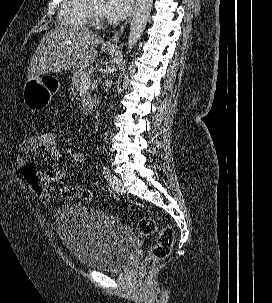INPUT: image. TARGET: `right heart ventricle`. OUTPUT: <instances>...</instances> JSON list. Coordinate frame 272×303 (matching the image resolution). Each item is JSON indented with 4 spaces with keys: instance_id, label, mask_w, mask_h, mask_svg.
I'll list each match as a JSON object with an SVG mask.
<instances>
[{
    "instance_id": "e07e8e85",
    "label": "right heart ventricle",
    "mask_w": 272,
    "mask_h": 303,
    "mask_svg": "<svg viewBox=\"0 0 272 303\" xmlns=\"http://www.w3.org/2000/svg\"><path fill=\"white\" fill-rule=\"evenodd\" d=\"M87 4L88 0H60L59 23L67 27H87L91 22Z\"/></svg>"
}]
</instances>
